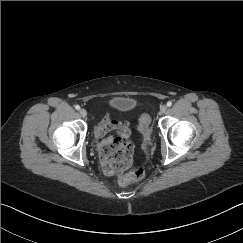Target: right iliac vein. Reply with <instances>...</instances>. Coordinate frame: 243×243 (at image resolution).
Listing matches in <instances>:
<instances>
[{
  "label": "right iliac vein",
  "mask_w": 243,
  "mask_h": 243,
  "mask_svg": "<svg viewBox=\"0 0 243 243\" xmlns=\"http://www.w3.org/2000/svg\"><path fill=\"white\" fill-rule=\"evenodd\" d=\"M79 113L83 118L87 117V111L85 109H80Z\"/></svg>",
  "instance_id": "1"
}]
</instances>
